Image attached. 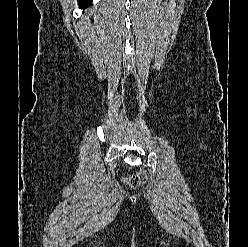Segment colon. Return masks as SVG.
Wrapping results in <instances>:
<instances>
[{"instance_id":"1","label":"colon","mask_w":248,"mask_h":247,"mask_svg":"<svg viewBox=\"0 0 248 247\" xmlns=\"http://www.w3.org/2000/svg\"><path fill=\"white\" fill-rule=\"evenodd\" d=\"M145 180H146V174L143 171H138L123 179L124 183L131 188L139 187L141 184L145 182Z\"/></svg>"}]
</instances>
